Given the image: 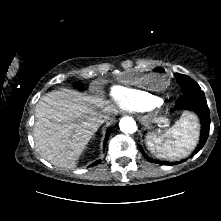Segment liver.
<instances>
[{
  "label": "liver",
  "instance_id": "obj_1",
  "mask_svg": "<svg viewBox=\"0 0 221 221\" xmlns=\"http://www.w3.org/2000/svg\"><path fill=\"white\" fill-rule=\"evenodd\" d=\"M115 112L109 100L99 93L54 90L36 104L33 128L35 147L40 156L61 168L76 167L77 160L102 123L100 114Z\"/></svg>",
  "mask_w": 221,
  "mask_h": 221
}]
</instances>
